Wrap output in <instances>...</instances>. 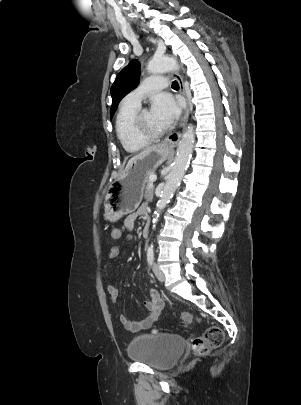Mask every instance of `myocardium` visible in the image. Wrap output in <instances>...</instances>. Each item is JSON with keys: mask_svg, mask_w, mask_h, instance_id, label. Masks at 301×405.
Segmentation results:
<instances>
[{"mask_svg": "<svg viewBox=\"0 0 301 405\" xmlns=\"http://www.w3.org/2000/svg\"><path fill=\"white\" fill-rule=\"evenodd\" d=\"M145 111H147V110L138 109L132 118L131 127H132V131H133L134 135L142 140L150 142V141L157 140V139L163 137L165 134H167L168 128H165L164 130L159 131V132H151L144 128L143 115H144Z\"/></svg>", "mask_w": 301, "mask_h": 405, "instance_id": "1", "label": "myocardium"}]
</instances>
